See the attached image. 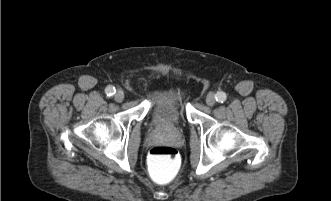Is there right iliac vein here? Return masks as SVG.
Here are the masks:
<instances>
[{
    "label": "right iliac vein",
    "mask_w": 331,
    "mask_h": 201,
    "mask_svg": "<svg viewBox=\"0 0 331 201\" xmlns=\"http://www.w3.org/2000/svg\"><path fill=\"white\" fill-rule=\"evenodd\" d=\"M114 98H115V100L117 102L123 101V99H124V93H123V91L122 90H117L116 93H115V95H114Z\"/></svg>",
    "instance_id": "1"
}]
</instances>
